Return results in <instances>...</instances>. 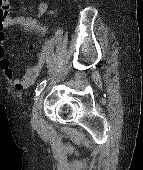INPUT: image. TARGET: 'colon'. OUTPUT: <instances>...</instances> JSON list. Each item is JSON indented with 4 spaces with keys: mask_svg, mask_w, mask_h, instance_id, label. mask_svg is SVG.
Segmentation results:
<instances>
[{
    "mask_svg": "<svg viewBox=\"0 0 143 170\" xmlns=\"http://www.w3.org/2000/svg\"><path fill=\"white\" fill-rule=\"evenodd\" d=\"M8 15V0H0V19Z\"/></svg>",
    "mask_w": 143,
    "mask_h": 170,
    "instance_id": "1",
    "label": "colon"
}]
</instances>
